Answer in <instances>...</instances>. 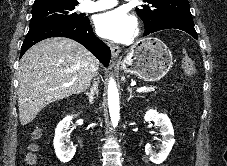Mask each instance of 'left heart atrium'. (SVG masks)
Here are the masks:
<instances>
[{
  "label": "left heart atrium",
  "instance_id": "39dd6f15",
  "mask_svg": "<svg viewBox=\"0 0 227 166\" xmlns=\"http://www.w3.org/2000/svg\"><path fill=\"white\" fill-rule=\"evenodd\" d=\"M96 32L103 38L113 41H125L134 33V17L121 9L103 13L96 19Z\"/></svg>",
  "mask_w": 227,
  "mask_h": 166
}]
</instances>
